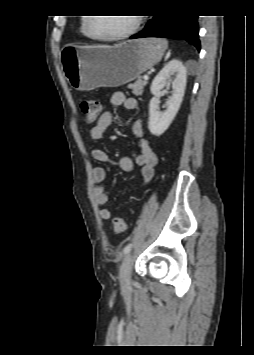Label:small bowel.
<instances>
[{
  "mask_svg": "<svg viewBox=\"0 0 254 355\" xmlns=\"http://www.w3.org/2000/svg\"><path fill=\"white\" fill-rule=\"evenodd\" d=\"M110 102L113 106H123L128 110H133L137 107L136 99L127 97L123 92H114L111 96ZM112 122V114L110 112H103L95 124L90 128L89 137L93 142L99 141L104 132ZM132 132L139 142L140 152L135 158L129 156L120 157L114 161L102 149L94 148L92 155L95 160L100 162L115 163L117 166L125 171L130 172L134 169L135 165L140 167V176L143 183H148L152 180L155 172V167L158 162L157 155L153 150L150 139L145 135L144 127L141 121H135L132 125ZM92 179L96 183L93 188V195L96 203L99 206H105L108 203V194L101 185L106 179V170L103 167L92 168ZM99 215L102 219H109L111 216L107 208L102 207L99 210Z\"/></svg>",
  "mask_w": 254,
  "mask_h": 355,
  "instance_id": "1",
  "label": "small bowel"
}]
</instances>
